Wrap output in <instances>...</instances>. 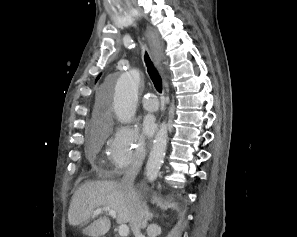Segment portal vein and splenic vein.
Masks as SVG:
<instances>
[{"mask_svg": "<svg viewBox=\"0 0 297 237\" xmlns=\"http://www.w3.org/2000/svg\"><path fill=\"white\" fill-rule=\"evenodd\" d=\"M102 212H108L113 218H116V212L109 207L98 208L93 212V216H97ZM119 235L121 237H127L129 234V227L126 224H121L119 226Z\"/></svg>", "mask_w": 297, "mask_h": 237, "instance_id": "18ae733b", "label": "portal vein and splenic vein"}]
</instances>
